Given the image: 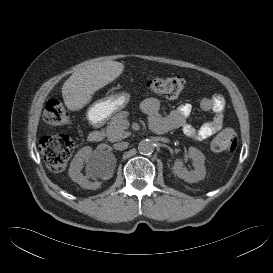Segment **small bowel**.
I'll list each match as a JSON object with an SVG mask.
<instances>
[{
  "instance_id": "small-bowel-1",
  "label": "small bowel",
  "mask_w": 273,
  "mask_h": 273,
  "mask_svg": "<svg viewBox=\"0 0 273 273\" xmlns=\"http://www.w3.org/2000/svg\"><path fill=\"white\" fill-rule=\"evenodd\" d=\"M142 110L148 115L150 121L162 118L160 115V102L156 98H147L142 102ZM200 107L204 111L214 112V116L200 127H194L188 122L191 112L189 104H182L167 116L162 118L166 121L169 129H181L187 136L204 140L219 132L224 124L225 99L220 94H213L205 97L200 102Z\"/></svg>"
}]
</instances>
